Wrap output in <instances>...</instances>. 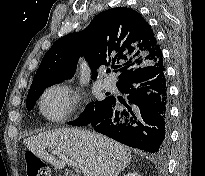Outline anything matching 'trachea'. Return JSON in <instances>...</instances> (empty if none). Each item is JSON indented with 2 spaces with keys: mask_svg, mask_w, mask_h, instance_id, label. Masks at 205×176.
Instances as JSON below:
<instances>
[{
  "mask_svg": "<svg viewBox=\"0 0 205 176\" xmlns=\"http://www.w3.org/2000/svg\"><path fill=\"white\" fill-rule=\"evenodd\" d=\"M107 72H111V70H110V69H108V70H107Z\"/></svg>",
  "mask_w": 205,
  "mask_h": 176,
  "instance_id": "1",
  "label": "trachea"
}]
</instances>
